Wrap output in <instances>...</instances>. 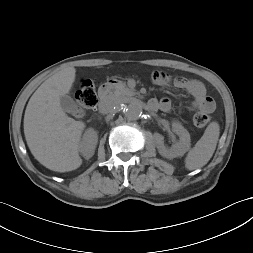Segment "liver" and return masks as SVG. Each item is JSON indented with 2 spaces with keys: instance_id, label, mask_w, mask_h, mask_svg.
Masks as SVG:
<instances>
[{
  "instance_id": "liver-1",
  "label": "liver",
  "mask_w": 253,
  "mask_h": 253,
  "mask_svg": "<svg viewBox=\"0 0 253 253\" xmlns=\"http://www.w3.org/2000/svg\"><path fill=\"white\" fill-rule=\"evenodd\" d=\"M76 69L64 68L47 80L31 96L24 115V134L34 158L46 168L68 172L79 168L81 136L85 123L67 116L60 96L69 93Z\"/></svg>"
}]
</instances>
